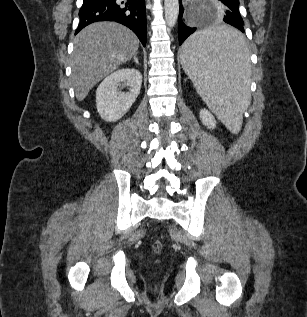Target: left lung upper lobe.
Masks as SVG:
<instances>
[{
	"label": "left lung upper lobe",
	"mask_w": 307,
	"mask_h": 317,
	"mask_svg": "<svg viewBox=\"0 0 307 317\" xmlns=\"http://www.w3.org/2000/svg\"><path fill=\"white\" fill-rule=\"evenodd\" d=\"M227 1L239 11V0H227Z\"/></svg>",
	"instance_id": "5c2ea615"
}]
</instances>
